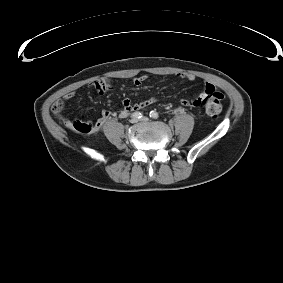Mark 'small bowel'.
<instances>
[{
	"label": "small bowel",
	"instance_id": "small-bowel-1",
	"mask_svg": "<svg viewBox=\"0 0 283 283\" xmlns=\"http://www.w3.org/2000/svg\"><path fill=\"white\" fill-rule=\"evenodd\" d=\"M178 77L182 79H187L189 81H193L195 79V76L192 74H178ZM146 80L145 76L136 78L133 80V84L136 87L142 86L143 82ZM94 86L98 90L99 94H104L106 90L109 89L110 85L107 81L105 80H98L94 83ZM216 89L214 85L210 83H206L200 93L193 99H181L180 105L185 106V107H191V108H204L205 110L208 109L209 105L214 103V102H219L216 94ZM75 95V91H70L66 93L65 98L70 99ZM156 99L155 98H150L144 101H140L137 103H132L129 99H124L123 100V109L121 111L120 116L125 117L131 112L137 111V110H143L151 106L153 103H155ZM113 116V112L109 110H103L101 112L100 118L91 123L92 127V132L95 133L98 132L104 124ZM68 127L72 128L73 122H68L67 123Z\"/></svg>",
	"mask_w": 283,
	"mask_h": 283
}]
</instances>
